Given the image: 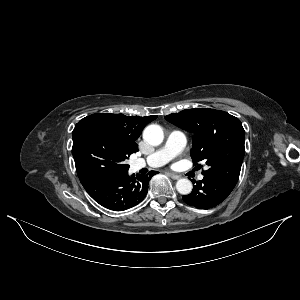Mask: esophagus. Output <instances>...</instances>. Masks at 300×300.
Wrapping results in <instances>:
<instances>
[{"mask_svg":"<svg viewBox=\"0 0 300 300\" xmlns=\"http://www.w3.org/2000/svg\"><path fill=\"white\" fill-rule=\"evenodd\" d=\"M169 176H170L172 179H174V180H178V179L181 178L180 175H177V174H174V173H169Z\"/></svg>","mask_w":300,"mask_h":300,"instance_id":"34e87169","label":"esophagus"}]
</instances>
